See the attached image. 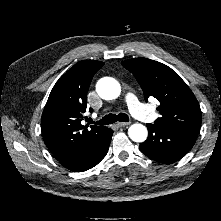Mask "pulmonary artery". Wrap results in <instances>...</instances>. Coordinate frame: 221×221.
<instances>
[{"instance_id": "1", "label": "pulmonary artery", "mask_w": 221, "mask_h": 221, "mask_svg": "<svg viewBox=\"0 0 221 221\" xmlns=\"http://www.w3.org/2000/svg\"><path fill=\"white\" fill-rule=\"evenodd\" d=\"M125 100L130 112L136 118L145 122H151L153 120V114L142 103L139 102L133 93H127Z\"/></svg>"}]
</instances>
